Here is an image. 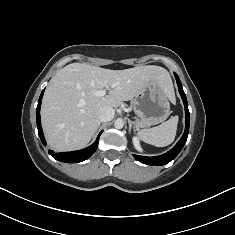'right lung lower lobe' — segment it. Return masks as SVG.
<instances>
[{"label": "right lung lower lobe", "mask_w": 235, "mask_h": 235, "mask_svg": "<svg viewBox=\"0 0 235 235\" xmlns=\"http://www.w3.org/2000/svg\"><path fill=\"white\" fill-rule=\"evenodd\" d=\"M43 93H44V90L42 91L40 98L38 100V106L36 109V119H37L38 134L40 136L42 143L46 144V141L43 136V131L41 127V119H40V107H41ZM100 135H101V132L99 133L96 142L85 149L72 151V152H60V153H54V151L49 150V154L52 155L56 160L65 162V163L82 162L88 159L89 157H91L93 153L96 151L98 147V141H99Z\"/></svg>", "instance_id": "obj_1"}]
</instances>
